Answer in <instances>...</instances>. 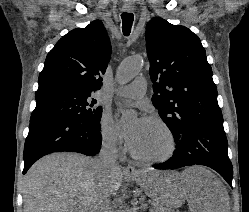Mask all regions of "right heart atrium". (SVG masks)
Here are the masks:
<instances>
[{
  "label": "right heart atrium",
  "mask_w": 249,
  "mask_h": 212,
  "mask_svg": "<svg viewBox=\"0 0 249 212\" xmlns=\"http://www.w3.org/2000/svg\"><path fill=\"white\" fill-rule=\"evenodd\" d=\"M99 133L101 142L106 149L116 154L122 151L121 138L112 118L106 112L100 118Z\"/></svg>",
  "instance_id": "right-heart-atrium-1"
}]
</instances>
